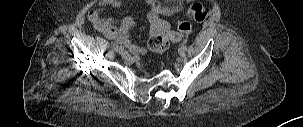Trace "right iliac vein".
<instances>
[{
	"mask_svg": "<svg viewBox=\"0 0 303 127\" xmlns=\"http://www.w3.org/2000/svg\"><path fill=\"white\" fill-rule=\"evenodd\" d=\"M119 54L123 57V58H130L129 53L124 49V48H120L119 49Z\"/></svg>",
	"mask_w": 303,
	"mask_h": 127,
	"instance_id": "1",
	"label": "right iliac vein"
}]
</instances>
